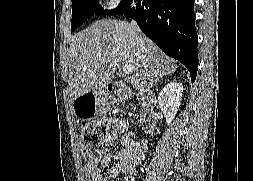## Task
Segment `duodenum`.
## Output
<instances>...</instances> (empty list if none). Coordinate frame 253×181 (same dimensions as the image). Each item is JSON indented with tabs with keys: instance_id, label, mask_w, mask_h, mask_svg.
<instances>
[{
	"instance_id": "obj_1",
	"label": "duodenum",
	"mask_w": 253,
	"mask_h": 181,
	"mask_svg": "<svg viewBox=\"0 0 253 181\" xmlns=\"http://www.w3.org/2000/svg\"><path fill=\"white\" fill-rule=\"evenodd\" d=\"M107 96L112 102H120L126 99V89L123 84L108 85ZM148 109L143 119V130L145 133H152L156 127V117L151 109L152 100L149 96H144Z\"/></svg>"
}]
</instances>
